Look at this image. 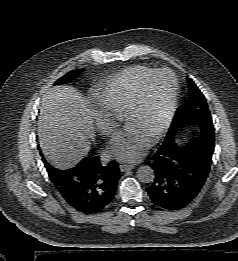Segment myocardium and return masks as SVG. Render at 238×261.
<instances>
[{"label":"myocardium","instance_id":"myocardium-1","mask_svg":"<svg viewBox=\"0 0 238 261\" xmlns=\"http://www.w3.org/2000/svg\"><path fill=\"white\" fill-rule=\"evenodd\" d=\"M164 73L171 75V77L173 79L174 88H173V93L171 96V100H170L166 115H165L163 121L161 122V124L159 125V127L152 134L153 139H158L169 128V126L174 118L175 112H176L178 99H179L180 85H179V80H178L177 75L171 69H168V68L156 69V70H153L151 73H149L145 78H143V80L140 82V84L137 88L133 102L130 105V107L125 115L126 120H128L131 115H133L134 113H136L137 111L140 110L142 103L144 101L145 90H146L148 83L157 75L164 74Z\"/></svg>","mask_w":238,"mask_h":261}]
</instances>
